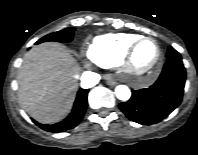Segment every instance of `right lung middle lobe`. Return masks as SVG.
Instances as JSON below:
<instances>
[{
	"label": "right lung middle lobe",
	"mask_w": 198,
	"mask_h": 155,
	"mask_svg": "<svg viewBox=\"0 0 198 155\" xmlns=\"http://www.w3.org/2000/svg\"><path fill=\"white\" fill-rule=\"evenodd\" d=\"M74 30V28H66L64 30L48 34L37 41L36 44L46 41L69 42L73 38Z\"/></svg>",
	"instance_id": "right-lung-middle-lobe-1"
}]
</instances>
